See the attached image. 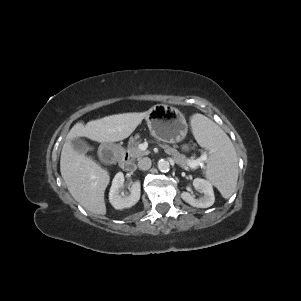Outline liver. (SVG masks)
Instances as JSON below:
<instances>
[{"instance_id":"liver-1","label":"liver","mask_w":301,"mask_h":301,"mask_svg":"<svg viewBox=\"0 0 301 301\" xmlns=\"http://www.w3.org/2000/svg\"><path fill=\"white\" fill-rule=\"evenodd\" d=\"M147 115V112L110 115L86 125L76 123L69 131L61 152L60 171L72 197L87 211L106 214L104 193L110 176L95 161L77 153L71 140L87 137L99 143L117 142L129 137Z\"/></svg>"}]
</instances>
